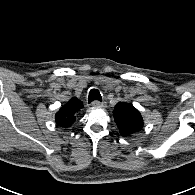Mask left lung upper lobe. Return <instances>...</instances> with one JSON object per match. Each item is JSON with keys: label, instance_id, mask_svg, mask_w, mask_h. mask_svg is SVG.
<instances>
[{"label": "left lung upper lobe", "instance_id": "5c2ea615", "mask_svg": "<svg viewBox=\"0 0 195 195\" xmlns=\"http://www.w3.org/2000/svg\"><path fill=\"white\" fill-rule=\"evenodd\" d=\"M113 114L122 136H130L142 130V116L131 104L117 103Z\"/></svg>", "mask_w": 195, "mask_h": 195}]
</instances>
